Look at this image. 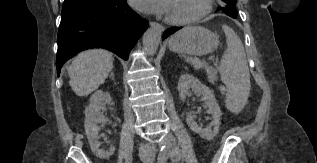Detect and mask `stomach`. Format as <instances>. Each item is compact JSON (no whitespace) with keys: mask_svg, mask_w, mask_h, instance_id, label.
<instances>
[{"mask_svg":"<svg viewBox=\"0 0 317 163\" xmlns=\"http://www.w3.org/2000/svg\"><path fill=\"white\" fill-rule=\"evenodd\" d=\"M219 44L218 35L201 26L186 27L169 42L170 50L194 56L213 52Z\"/></svg>","mask_w":317,"mask_h":163,"instance_id":"0dacf381","label":"stomach"}]
</instances>
